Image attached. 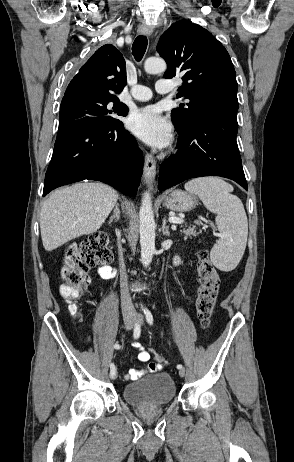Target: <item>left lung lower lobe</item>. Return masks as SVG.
Wrapping results in <instances>:
<instances>
[{"label":"left lung lower lobe","mask_w":294,"mask_h":462,"mask_svg":"<svg viewBox=\"0 0 294 462\" xmlns=\"http://www.w3.org/2000/svg\"><path fill=\"white\" fill-rule=\"evenodd\" d=\"M238 106L220 105L207 110L189 129L178 131V153L160 168V191L186 179L221 176L248 190L236 135Z\"/></svg>","instance_id":"1"}]
</instances>
